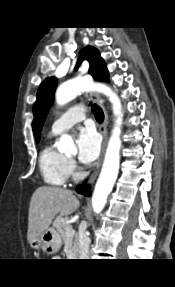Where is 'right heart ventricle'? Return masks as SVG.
Here are the masks:
<instances>
[{
	"label": "right heart ventricle",
	"instance_id": "1",
	"mask_svg": "<svg viewBox=\"0 0 175 287\" xmlns=\"http://www.w3.org/2000/svg\"><path fill=\"white\" fill-rule=\"evenodd\" d=\"M67 160L53 147L51 141L45 143L39 155V169L47 184L62 186L67 182L69 177Z\"/></svg>",
	"mask_w": 175,
	"mask_h": 287
}]
</instances>
